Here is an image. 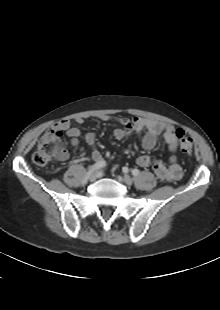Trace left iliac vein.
Instances as JSON below:
<instances>
[{"instance_id": "obj_1", "label": "left iliac vein", "mask_w": 220, "mask_h": 310, "mask_svg": "<svg viewBox=\"0 0 220 310\" xmlns=\"http://www.w3.org/2000/svg\"><path fill=\"white\" fill-rule=\"evenodd\" d=\"M123 181L127 185H131L133 183V179L129 175H124L123 176Z\"/></svg>"}]
</instances>
